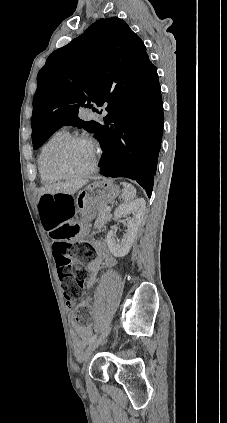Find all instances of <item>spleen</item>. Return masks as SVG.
<instances>
[{
  "mask_svg": "<svg viewBox=\"0 0 227 423\" xmlns=\"http://www.w3.org/2000/svg\"><path fill=\"white\" fill-rule=\"evenodd\" d=\"M122 186L124 188L122 198L125 200V204H130V200H133L136 196V188L127 184V182H122Z\"/></svg>",
  "mask_w": 227,
  "mask_h": 423,
  "instance_id": "spleen-1",
  "label": "spleen"
}]
</instances>
